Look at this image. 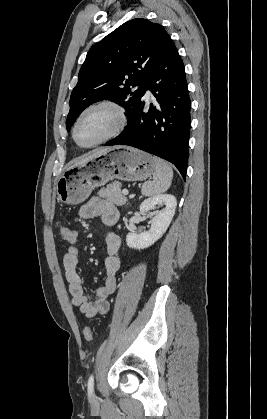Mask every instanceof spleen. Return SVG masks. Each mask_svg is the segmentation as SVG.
<instances>
[{
	"instance_id": "3e777b00",
	"label": "spleen",
	"mask_w": 267,
	"mask_h": 419,
	"mask_svg": "<svg viewBox=\"0 0 267 419\" xmlns=\"http://www.w3.org/2000/svg\"><path fill=\"white\" fill-rule=\"evenodd\" d=\"M153 161L155 164L153 180L145 182L141 188V193L144 196L159 195L166 192L171 186L173 178L171 166L158 157H153Z\"/></svg>"
}]
</instances>
